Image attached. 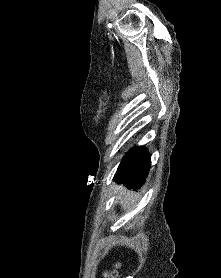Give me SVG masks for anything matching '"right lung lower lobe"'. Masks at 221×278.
Listing matches in <instances>:
<instances>
[{
	"instance_id": "right-lung-lower-lobe-1",
	"label": "right lung lower lobe",
	"mask_w": 221,
	"mask_h": 278,
	"mask_svg": "<svg viewBox=\"0 0 221 278\" xmlns=\"http://www.w3.org/2000/svg\"><path fill=\"white\" fill-rule=\"evenodd\" d=\"M150 154L144 147H135L123 157L114 180L122 181L128 188L140 189L150 169Z\"/></svg>"
}]
</instances>
